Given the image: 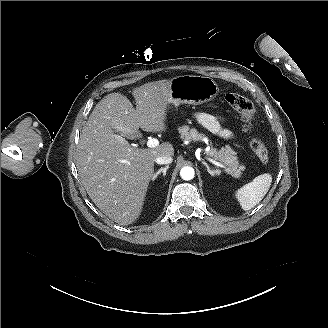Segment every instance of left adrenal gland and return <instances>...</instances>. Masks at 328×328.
Listing matches in <instances>:
<instances>
[{
  "label": "left adrenal gland",
  "mask_w": 328,
  "mask_h": 328,
  "mask_svg": "<svg viewBox=\"0 0 328 328\" xmlns=\"http://www.w3.org/2000/svg\"><path fill=\"white\" fill-rule=\"evenodd\" d=\"M202 164L205 165V167L207 168V171H208V173H209L210 175L213 176L214 174L217 173L216 170H211L210 167H209V165H208L205 161H202Z\"/></svg>",
  "instance_id": "left-adrenal-gland-1"
}]
</instances>
